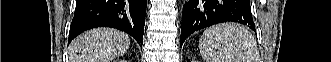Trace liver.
I'll list each match as a JSON object with an SVG mask.
<instances>
[{
    "label": "liver",
    "instance_id": "6515ba94",
    "mask_svg": "<svg viewBox=\"0 0 331 62\" xmlns=\"http://www.w3.org/2000/svg\"><path fill=\"white\" fill-rule=\"evenodd\" d=\"M129 36L112 28H96L75 38L69 46V62H110L125 54Z\"/></svg>",
    "mask_w": 331,
    "mask_h": 62
}]
</instances>
